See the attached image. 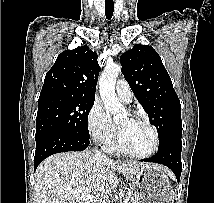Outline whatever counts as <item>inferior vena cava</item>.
<instances>
[{
	"mask_svg": "<svg viewBox=\"0 0 214 203\" xmlns=\"http://www.w3.org/2000/svg\"><path fill=\"white\" fill-rule=\"evenodd\" d=\"M93 153H94L97 157H99V158H104V159H106V156L103 155V154H101V152H100L98 149H94V150H93ZM101 203H105V202L102 201Z\"/></svg>",
	"mask_w": 214,
	"mask_h": 203,
	"instance_id": "602c4592",
	"label": "inferior vena cava"
}]
</instances>
